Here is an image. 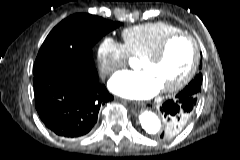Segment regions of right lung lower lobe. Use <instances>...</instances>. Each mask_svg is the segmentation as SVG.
Returning <instances> with one entry per match:
<instances>
[{
    "mask_svg": "<svg viewBox=\"0 0 240 160\" xmlns=\"http://www.w3.org/2000/svg\"><path fill=\"white\" fill-rule=\"evenodd\" d=\"M35 106L45 126L58 136L77 138L97 122L101 105L113 99L96 69L81 72L51 64L34 74Z\"/></svg>",
    "mask_w": 240,
    "mask_h": 160,
    "instance_id": "98d812e1",
    "label": "right lung lower lobe"
}]
</instances>
